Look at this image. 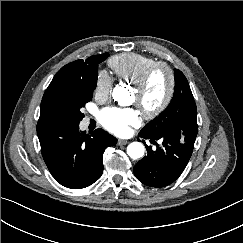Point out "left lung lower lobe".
<instances>
[{
    "label": "left lung lower lobe",
    "mask_w": 243,
    "mask_h": 243,
    "mask_svg": "<svg viewBox=\"0 0 243 243\" xmlns=\"http://www.w3.org/2000/svg\"><path fill=\"white\" fill-rule=\"evenodd\" d=\"M139 136L150 139L157 147L152 150L146 146L147 156L133 169L136 178L143 184L155 188L168 186L178 179L192 155L193 141L187 136L182 139L171 132L151 137L140 131ZM155 140H160V145Z\"/></svg>",
    "instance_id": "left-lung-lower-lobe-1"
}]
</instances>
